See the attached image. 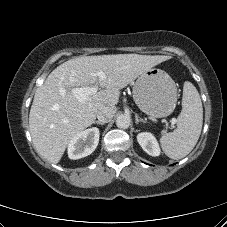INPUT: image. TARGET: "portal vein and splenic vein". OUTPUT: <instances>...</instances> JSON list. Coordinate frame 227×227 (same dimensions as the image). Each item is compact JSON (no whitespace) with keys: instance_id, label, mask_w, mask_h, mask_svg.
Returning <instances> with one entry per match:
<instances>
[{"instance_id":"portal-vein-and-splenic-vein-1","label":"portal vein and splenic vein","mask_w":227,"mask_h":227,"mask_svg":"<svg viewBox=\"0 0 227 227\" xmlns=\"http://www.w3.org/2000/svg\"><path fill=\"white\" fill-rule=\"evenodd\" d=\"M97 75L100 80H103L106 78V75L102 71L98 72ZM98 88H99L98 84H95L94 86H91V87L74 88L72 92L80 102H83L87 100L89 96L95 94L98 91ZM176 122L177 120L175 118L171 120L172 124H175Z\"/></svg>"}]
</instances>
